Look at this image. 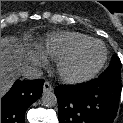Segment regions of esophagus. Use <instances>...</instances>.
Listing matches in <instances>:
<instances>
[{"mask_svg":"<svg viewBox=\"0 0 123 123\" xmlns=\"http://www.w3.org/2000/svg\"><path fill=\"white\" fill-rule=\"evenodd\" d=\"M53 91V87L52 85L50 84V82L46 81L44 84H43V92L44 93H48V92H51Z\"/></svg>","mask_w":123,"mask_h":123,"instance_id":"esophagus-1","label":"esophagus"}]
</instances>
